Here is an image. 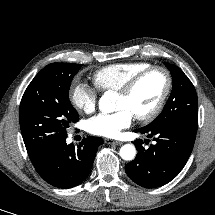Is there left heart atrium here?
I'll return each instance as SVG.
<instances>
[{"label":"left heart atrium","mask_w":215,"mask_h":215,"mask_svg":"<svg viewBox=\"0 0 215 215\" xmlns=\"http://www.w3.org/2000/svg\"><path fill=\"white\" fill-rule=\"evenodd\" d=\"M133 118L128 109L122 108L114 113H101L92 117L87 123V128L93 135L116 138L123 129L131 125Z\"/></svg>","instance_id":"1"}]
</instances>
